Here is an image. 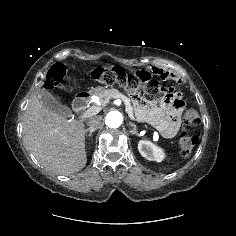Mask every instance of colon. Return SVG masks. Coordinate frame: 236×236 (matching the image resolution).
<instances>
[{
    "label": "colon",
    "instance_id": "5ec220e1",
    "mask_svg": "<svg viewBox=\"0 0 236 236\" xmlns=\"http://www.w3.org/2000/svg\"><path fill=\"white\" fill-rule=\"evenodd\" d=\"M66 75V67L63 64H54L47 74L45 87L53 90L63 85ZM91 77L94 81L106 85L118 84L132 96H164L170 101L179 100V96L172 87L162 84L155 77L144 71L129 70L121 66L101 67L93 70ZM185 128L179 137L181 154L190 156L199 141L198 136L189 128L200 122L199 113L196 108L189 107L183 114Z\"/></svg>",
    "mask_w": 236,
    "mask_h": 236
}]
</instances>
